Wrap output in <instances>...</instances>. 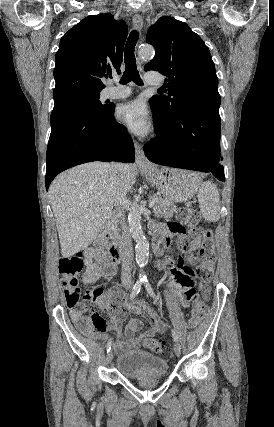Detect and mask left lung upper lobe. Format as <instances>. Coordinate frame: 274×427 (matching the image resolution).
Listing matches in <instances>:
<instances>
[{
  "instance_id": "1",
  "label": "left lung upper lobe",
  "mask_w": 274,
  "mask_h": 427,
  "mask_svg": "<svg viewBox=\"0 0 274 427\" xmlns=\"http://www.w3.org/2000/svg\"><path fill=\"white\" fill-rule=\"evenodd\" d=\"M146 42L154 46L155 56L145 70L166 75L168 88L167 96L155 95L150 101L166 118L194 107L219 112L214 62L203 40L186 23L163 16L150 27Z\"/></svg>"
}]
</instances>
